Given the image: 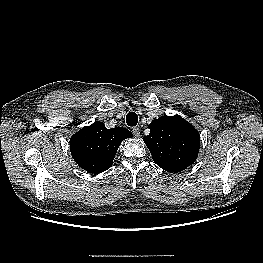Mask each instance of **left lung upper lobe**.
Returning a JSON list of instances; mask_svg holds the SVG:
<instances>
[{
  "mask_svg": "<svg viewBox=\"0 0 263 263\" xmlns=\"http://www.w3.org/2000/svg\"><path fill=\"white\" fill-rule=\"evenodd\" d=\"M144 142L154 162L169 172H181L193 164L200 145L198 131L182 118L163 116L149 125Z\"/></svg>",
  "mask_w": 263,
  "mask_h": 263,
  "instance_id": "left-lung-upper-lobe-1",
  "label": "left lung upper lobe"
}]
</instances>
